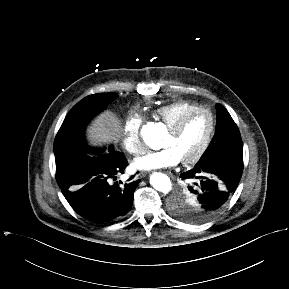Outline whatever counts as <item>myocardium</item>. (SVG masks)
<instances>
[{
	"label": "myocardium",
	"instance_id": "myocardium-1",
	"mask_svg": "<svg viewBox=\"0 0 289 289\" xmlns=\"http://www.w3.org/2000/svg\"><path fill=\"white\" fill-rule=\"evenodd\" d=\"M198 113H206L209 115L210 120H211V127H210V131H209L204 143L201 145V147L198 149V151L194 155H192L191 157L181 160V162L185 165L197 163L204 156V154L206 153V151L210 147L212 140H213L215 133H216V127H217L216 117L210 109L205 108V107H198V108L189 110L186 113H184L173 125H171L168 128V131L171 134L176 135L182 131V129L184 128L187 121L193 115L198 114Z\"/></svg>",
	"mask_w": 289,
	"mask_h": 289
}]
</instances>
